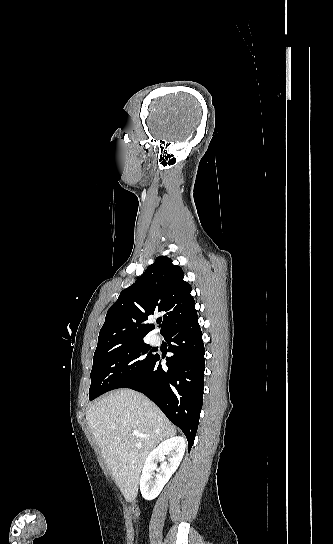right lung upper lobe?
Here are the masks:
<instances>
[{
  "instance_id": "obj_1",
  "label": "right lung upper lobe",
  "mask_w": 333,
  "mask_h": 544,
  "mask_svg": "<svg viewBox=\"0 0 333 544\" xmlns=\"http://www.w3.org/2000/svg\"><path fill=\"white\" fill-rule=\"evenodd\" d=\"M181 267L173 265L166 256L155 262L124 289L118 300L107 311L98 345L110 340L144 338L155 326L146 323L155 311H164L161 333L171 325L190 318L196 313L190 284L183 280Z\"/></svg>"
}]
</instances>
